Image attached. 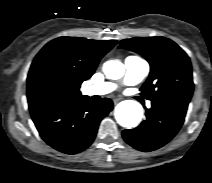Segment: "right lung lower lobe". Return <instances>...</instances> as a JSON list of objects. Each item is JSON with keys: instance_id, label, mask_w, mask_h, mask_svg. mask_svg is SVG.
I'll use <instances>...</instances> for the list:
<instances>
[{"instance_id": "right-lung-lower-lobe-1", "label": "right lung lower lobe", "mask_w": 212, "mask_h": 183, "mask_svg": "<svg viewBox=\"0 0 212 183\" xmlns=\"http://www.w3.org/2000/svg\"><path fill=\"white\" fill-rule=\"evenodd\" d=\"M112 108L113 103L108 98L99 103L88 99H55L30 110V113L47 144L60 152L76 154L92 144L100 121Z\"/></svg>"}]
</instances>
